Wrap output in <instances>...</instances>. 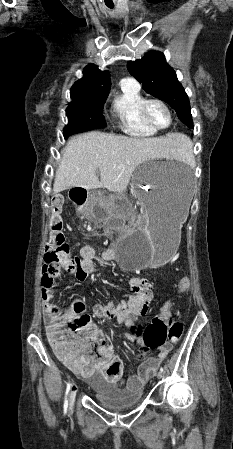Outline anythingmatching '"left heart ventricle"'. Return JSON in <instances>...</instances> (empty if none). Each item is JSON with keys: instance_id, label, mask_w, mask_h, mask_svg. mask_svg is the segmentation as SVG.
<instances>
[{"instance_id": "left-heart-ventricle-1", "label": "left heart ventricle", "mask_w": 233, "mask_h": 449, "mask_svg": "<svg viewBox=\"0 0 233 449\" xmlns=\"http://www.w3.org/2000/svg\"><path fill=\"white\" fill-rule=\"evenodd\" d=\"M148 116L150 120L159 127L166 126L169 121L168 113L157 103H153L149 106Z\"/></svg>"}]
</instances>
